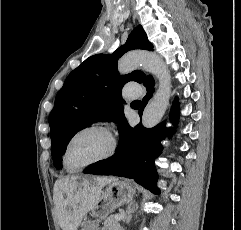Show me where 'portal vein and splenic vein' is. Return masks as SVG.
I'll return each mask as SVG.
<instances>
[{
  "label": "portal vein and splenic vein",
  "mask_w": 241,
  "mask_h": 230,
  "mask_svg": "<svg viewBox=\"0 0 241 230\" xmlns=\"http://www.w3.org/2000/svg\"><path fill=\"white\" fill-rule=\"evenodd\" d=\"M115 219H116L117 221H120V220L122 219V216L119 215V214H116V215H115Z\"/></svg>",
  "instance_id": "1"
}]
</instances>
